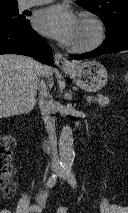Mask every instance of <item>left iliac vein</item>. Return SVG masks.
I'll return each instance as SVG.
<instances>
[{"instance_id":"4c4485c4","label":"left iliac vein","mask_w":128,"mask_h":213,"mask_svg":"<svg viewBox=\"0 0 128 213\" xmlns=\"http://www.w3.org/2000/svg\"><path fill=\"white\" fill-rule=\"evenodd\" d=\"M58 174L61 179H65V171L63 169H59Z\"/></svg>"}]
</instances>
